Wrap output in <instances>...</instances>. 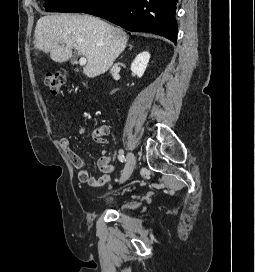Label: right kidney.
<instances>
[{
    "label": "right kidney",
    "instance_id": "1",
    "mask_svg": "<svg viewBox=\"0 0 255 272\" xmlns=\"http://www.w3.org/2000/svg\"><path fill=\"white\" fill-rule=\"evenodd\" d=\"M149 59L150 54L148 52H142L138 54L131 64L132 73L141 78L147 68Z\"/></svg>",
    "mask_w": 255,
    "mask_h": 272
}]
</instances>
